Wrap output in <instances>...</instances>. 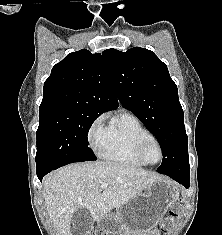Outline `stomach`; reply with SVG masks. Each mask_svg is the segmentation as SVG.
Wrapping results in <instances>:
<instances>
[{
  "label": "stomach",
  "instance_id": "stomach-1",
  "mask_svg": "<svg viewBox=\"0 0 222 235\" xmlns=\"http://www.w3.org/2000/svg\"><path fill=\"white\" fill-rule=\"evenodd\" d=\"M179 197L177 186L157 181L131 198L116 212L103 216L98 226L106 235H147Z\"/></svg>",
  "mask_w": 222,
  "mask_h": 235
}]
</instances>
